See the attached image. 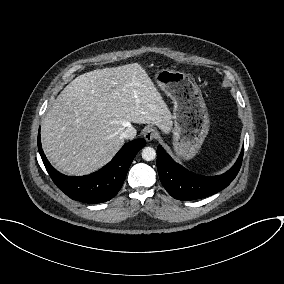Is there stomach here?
I'll return each instance as SVG.
<instances>
[{
    "label": "stomach",
    "mask_w": 284,
    "mask_h": 284,
    "mask_svg": "<svg viewBox=\"0 0 284 284\" xmlns=\"http://www.w3.org/2000/svg\"><path fill=\"white\" fill-rule=\"evenodd\" d=\"M160 89L173 102V148L183 159L193 158L209 131V114L200 88L187 74L162 69L155 74Z\"/></svg>",
    "instance_id": "1"
}]
</instances>
